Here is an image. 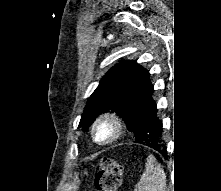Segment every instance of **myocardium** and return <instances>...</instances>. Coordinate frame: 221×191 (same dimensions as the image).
Segmentation results:
<instances>
[{
    "label": "myocardium",
    "instance_id": "1",
    "mask_svg": "<svg viewBox=\"0 0 221 191\" xmlns=\"http://www.w3.org/2000/svg\"><path fill=\"white\" fill-rule=\"evenodd\" d=\"M104 126L110 128V133L106 139L100 140L97 137V133L98 130ZM123 131L124 122L118 115L114 113H104L97 117V119L94 121L91 128V135L95 143L99 145H108L117 141L122 136Z\"/></svg>",
    "mask_w": 221,
    "mask_h": 191
}]
</instances>
